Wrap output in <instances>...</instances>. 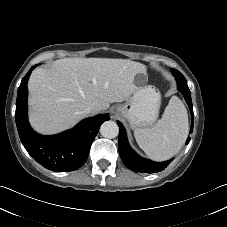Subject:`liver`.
I'll use <instances>...</instances> for the list:
<instances>
[{"mask_svg": "<svg viewBox=\"0 0 227 227\" xmlns=\"http://www.w3.org/2000/svg\"><path fill=\"white\" fill-rule=\"evenodd\" d=\"M145 71L142 63L113 58H64L37 68L28 82L29 121L41 134L69 129L86 117V107L96 114L127 100Z\"/></svg>", "mask_w": 227, "mask_h": 227, "instance_id": "liver-1", "label": "liver"}]
</instances>
